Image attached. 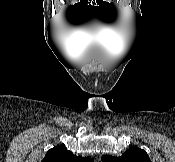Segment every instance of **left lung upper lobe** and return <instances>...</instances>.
<instances>
[{"label": "left lung upper lobe", "mask_w": 175, "mask_h": 162, "mask_svg": "<svg viewBox=\"0 0 175 162\" xmlns=\"http://www.w3.org/2000/svg\"><path fill=\"white\" fill-rule=\"evenodd\" d=\"M102 162H151L145 150L138 147L128 149L122 156H103Z\"/></svg>", "instance_id": "1"}]
</instances>
